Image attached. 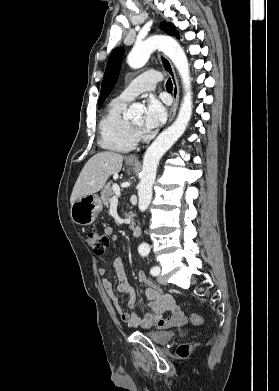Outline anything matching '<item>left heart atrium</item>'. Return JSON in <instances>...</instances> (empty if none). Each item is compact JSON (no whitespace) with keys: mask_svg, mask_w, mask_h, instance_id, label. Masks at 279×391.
Returning a JSON list of instances; mask_svg holds the SVG:
<instances>
[{"mask_svg":"<svg viewBox=\"0 0 279 391\" xmlns=\"http://www.w3.org/2000/svg\"><path fill=\"white\" fill-rule=\"evenodd\" d=\"M165 106L156 97H150L146 104L144 127L147 131L159 127L166 119Z\"/></svg>","mask_w":279,"mask_h":391,"instance_id":"39dd6f15","label":"left heart atrium"}]
</instances>
